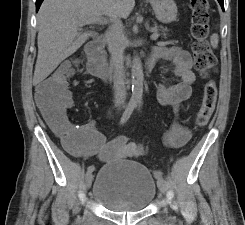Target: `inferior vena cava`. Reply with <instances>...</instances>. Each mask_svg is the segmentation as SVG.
Returning <instances> with one entry per match:
<instances>
[{
	"mask_svg": "<svg viewBox=\"0 0 245 225\" xmlns=\"http://www.w3.org/2000/svg\"><path fill=\"white\" fill-rule=\"evenodd\" d=\"M111 22V27L105 33V41L111 55L110 63L114 70V102L115 106H121L125 104L126 100L124 71L125 38L120 18H112Z\"/></svg>",
	"mask_w": 245,
	"mask_h": 225,
	"instance_id": "obj_1",
	"label": "inferior vena cava"
}]
</instances>
